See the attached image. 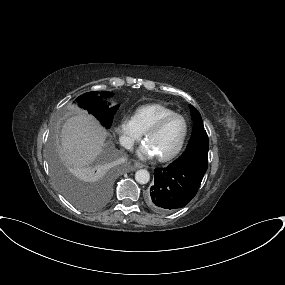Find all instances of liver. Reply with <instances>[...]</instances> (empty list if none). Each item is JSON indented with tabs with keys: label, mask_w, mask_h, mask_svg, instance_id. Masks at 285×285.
Segmentation results:
<instances>
[{
	"label": "liver",
	"mask_w": 285,
	"mask_h": 285,
	"mask_svg": "<svg viewBox=\"0 0 285 285\" xmlns=\"http://www.w3.org/2000/svg\"><path fill=\"white\" fill-rule=\"evenodd\" d=\"M108 132L86 111L78 110L61 129L59 153L63 163L76 176L82 177L86 166L103 151Z\"/></svg>",
	"instance_id": "6515ba94"
}]
</instances>
